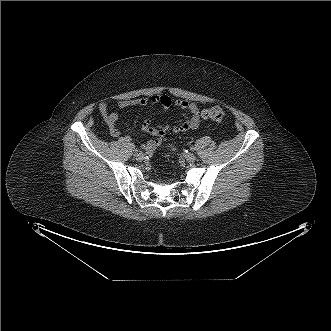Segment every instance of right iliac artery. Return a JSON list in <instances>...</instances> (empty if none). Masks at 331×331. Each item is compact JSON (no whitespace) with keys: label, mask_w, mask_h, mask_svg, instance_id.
<instances>
[{"label":"right iliac artery","mask_w":331,"mask_h":331,"mask_svg":"<svg viewBox=\"0 0 331 331\" xmlns=\"http://www.w3.org/2000/svg\"><path fill=\"white\" fill-rule=\"evenodd\" d=\"M133 152H134V153H139V152H140V149H139V148H134V149H133Z\"/></svg>","instance_id":"82829eb1"}]
</instances>
